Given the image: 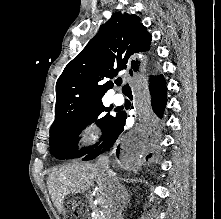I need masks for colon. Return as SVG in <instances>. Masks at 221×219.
I'll use <instances>...</instances> for the list:
<instances>
[{
    "instance_id": "obj_1",
    "label": "colon",
    "mask_w": 221,
    "mask_h": 219,
    "mask_svg": "<svg viewBox=\"0 0 221 219\" xmlns=\"http://www.w3.org/2000/svg\"><path fill=\"white\" fill-rule=\"evenodd\" d=\"M66 210L68 215L67 219H82L83 217L82 208L73 201H68L66 203Z\"/></svg>"
}]
</instances>
